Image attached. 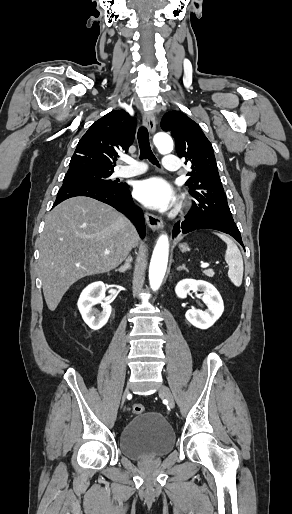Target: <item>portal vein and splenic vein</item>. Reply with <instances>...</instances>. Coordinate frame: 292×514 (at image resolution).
Returning <instances> with one entry per match:
<instances>
[{
    "instance_id": "1",
    "label": "portal vein and splenic vein",
    "mask_w": 292,
    "mask_h": 514,
    "mask_svg": "<svg viewBox=\"0 0 292 514\" xmlns=\"http://www.w3.org/2000/svg\"><path fill=\"white\" fill-rule=\"evenodd\" d=\"M105 254H110L108 250H106ZM209 264H201V268H208ZM208 272H212V270H208Z\"/></svg>"
}]
</instances>
